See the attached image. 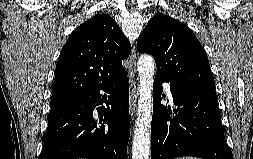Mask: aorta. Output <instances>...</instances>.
<instances>
[{"label":"aorta","instance_id":"762f6f07","mask_svg":"<svg viewBox=\"0 0 253 159\" xmlns=\"http://www.w3.org/2000/svg\"><path fill=\"white\" fill-rule=\"evenodd\" d=\"M155 61L144 54L138 60L139 99L132 145V159H149Z\"/></svg>","mask_w":253,"mask_h":159}]
</instances>
